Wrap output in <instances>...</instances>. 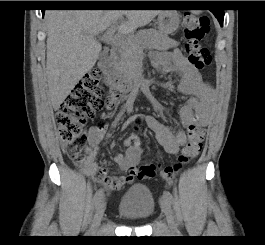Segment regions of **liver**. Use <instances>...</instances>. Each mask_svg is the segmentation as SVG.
Listing matches in <instances>:
<instances>
[{"mask_svg": "<svg viewBox=\"0 0 265 245\" xmlns=\"http://www.w3.org/2000/svg\"><path fill=\"white\" fill-rule=\"evenodd\" d=\"M161 10H49L46 75L48 96L60 108L75 85L95 65L101 45L96 36L121 20L123 34L146 26ZM126 16V20H123Z\"/></svg>", "mask_w": 265, "mask_h": 245, "instance_id": "obj_1", "label": "liver"}]
</instances>
